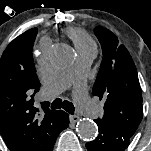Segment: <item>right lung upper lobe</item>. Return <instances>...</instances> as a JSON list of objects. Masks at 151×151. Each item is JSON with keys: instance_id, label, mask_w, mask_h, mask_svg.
<instances>
[{"instance_id": "right-lung-upper-lobe-1", "label": "right lung upper lobe", "mask_w": 151, "mask_h": 151, "mask_svg": "<svg viewBox=\"0 0 151 151\" xmlns=\"http://www.w3.org/2000/svg\"><path fill=\"white\" fill-rule=\"evenodd\" d=\"M35 30L15 38L2 55L24 58L19 77L0 69V131L10 151H52L57 138L58 110H50L49 102H42L41 110L34 106L33 96L40 88L30 45Z\"/></svg>"}]
</instances>
